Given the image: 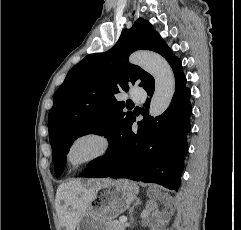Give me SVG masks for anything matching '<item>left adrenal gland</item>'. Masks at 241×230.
<instances>
[{"instance_id":"1","label":"left adrenal gland","mask_w":241,"mask_h":230,"mask_svg":"<svg viewBox=\"0 0 241 230\" xmlns=\"http://www.w3.org/2000/svg\"><path fill=\"white\" fill-rule=\"evenodd\" d=\"M139 204H140V200L137 199V200H136V203L134 204V206L139 205ZM134 206H133V207H134ZM130 214H131V212H130Z\"/></svg>"}]
</instances>
